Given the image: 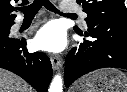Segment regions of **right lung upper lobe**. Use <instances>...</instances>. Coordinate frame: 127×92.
I'll use <instances>...</instances> for the list:
<instances>
[{"label": "right lung upper lobe", "mask_w": 127, "mask_h": 92, "mask_svg": "<svg viewBox=\"0 0 127 92\" xmlns=\"http://www.w3.org/2000/svg\"><path fill=\"white\" fill-rule=\"evenodd\" d=\"M13 0H0V25H12L16 15L15 8L10 4ZM18 0H15L17 2ZM21 5L27 4L28 0H22Z\"/></svg>", "instance_id": "right-lung-upper-lobe-1"}]
</instances>
